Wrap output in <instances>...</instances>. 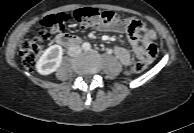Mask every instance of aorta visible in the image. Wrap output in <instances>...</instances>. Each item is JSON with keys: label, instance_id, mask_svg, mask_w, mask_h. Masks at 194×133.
I'll list each match as a JSON object with an SVG mask.
<instances>
[{"label": "aorta", "instance_id": "1", "mask_svg": "<svg viewBox=\"0 0 194 133\" xmlns=\"http://www.w3.org/2000/svg\"><path fill=\"white\" fill-rule=\"evenodd\" d=\"M82 47H83L84 50H89L91 45H90V43L85 42V43H83Z\"/></svg>", "mask_w": 194, "mask_h": 133}]
</instances>
